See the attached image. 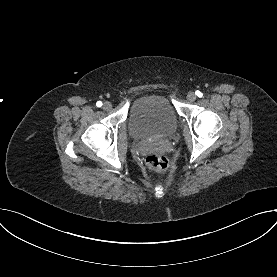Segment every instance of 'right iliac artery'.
<instances>
[{"instance_id": "82829eb1", "label": "right iliac artery", "mask_w": 277, "mask_h": 277, "mask_svg": "<svg viewBox=\"0 0 277 277\" xmlns=\"http://www.w3.org/2000/svg\"><path fill=\"white\" fill-rule=\"evenodd\" d=\"M96 105H97V107H101V106H102V102H101V101H98V102L96 103Z\"/></svg>"}]
</instances>
